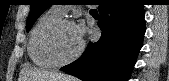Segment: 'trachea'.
<instances>
[{"label": "trachea", "instance_id": "trachea-1", "mask_svg": "<svg viewBox=\"0 0 169 81\" xmlns=\"http://www.w3.org/2000/svg\"><path fill=\"white\" fill-rule=\"evenodd\" d=\"M91 11H96L95 9H92Z\"/></svg>", "mask_w": 169, "mask_h": 81}]
</instances>
